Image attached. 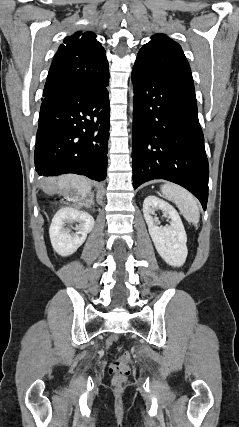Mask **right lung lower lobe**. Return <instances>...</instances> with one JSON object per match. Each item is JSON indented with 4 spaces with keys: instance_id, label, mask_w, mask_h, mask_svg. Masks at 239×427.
<instances>
[{
    "instance_id": "obj_1",
    "label": "right lung lower lobe",
    "mask_w": 239,
    "mask_h": 427,
    "mask_svg": "<svg viewBox=\"0 0 239 427\" xmlns=\"http://www.w3.org/2000/svg\"><path fill=\"white\" fill-rule=\"evenodd\" d=\"M109 73L64 84L43 94L34 161L39 175L64 173L106 178Z\"/></svg>"
}]
</instances>
